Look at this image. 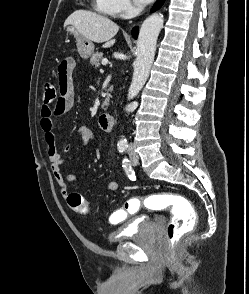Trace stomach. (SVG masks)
<instances>
[{"mask_svg":"<svg viewBox=\"0 0 249 294\" xmlns=\"http://www.w3.org/2000/svg\"><path fill=\"white\" fill-rule=\"evenodd\" d=\"M65 30L67 33L73 34L76 38L79 55L83 59H88L94 52V44L90 40L84 38L72 25H67Z\"/></svg>","mask_w":249,"mask_h":294,"instance_id":"1","label":"stomach"}]
</instances>
